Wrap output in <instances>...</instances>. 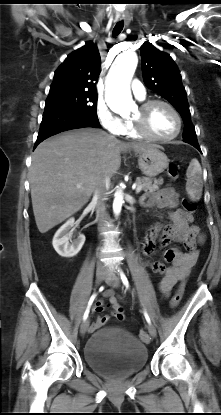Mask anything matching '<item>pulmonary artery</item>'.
I'll return each mask as SVG.
<instances>
[{"label":"pulmonary artery","instance_id":"e3ab8cb5","mask_svg":"<svg viewBox=\"0 0 221 415\" xmlns=\"http://www.w3.org/2000/svg\"><path fill=\"white\" fill-rule=\"evenodd\" d=\"M134 95L139 99L143 100L146 97V90L144 85L137 79H134L131 84Z\"/></svg>","mask_w":221,"mask_h":415}]
</instances>
